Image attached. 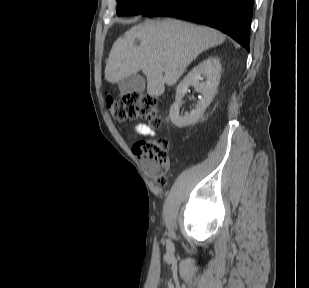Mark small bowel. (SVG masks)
Instances as JSON below:
<instances>
[{
  "label": "small bowel",
  "instance_id": "c3829d8e",
  "mask_svg": "<svg viewBox=\"0 0 309 288\" xmlns=\"http://www.w3.org/2000/svg\"><path fill=\"white\" fill-rule=\"evenodd\" d=\"M137 134L142 136H154L155 132L145 124H138L135 128Z\"/></svg>",
  "mask_w": 309,
  "mask_h": 288
}]
</instances>
